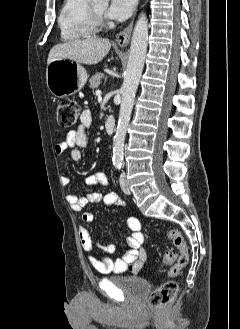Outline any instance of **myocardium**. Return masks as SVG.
Returning a JSON list of instances; mask_svg holds the SVG:
<instances>
[{
	"instance_id": "1",
	"label": "myocardium",
	"mask_w": 240,
	"mask_h": 329,
	"mask_svg": "<svg viewBox=\"0 0 240 329\" xmlns=\"http://www.w3.org/2000/svg\"><path fill=\"white\" fill-rule=\"evenodd\" d=\"M90 16L97 30L108 27L109 24L103 14L98 12L92 4L90 5Z\"/></svg>"
}]
</instances>
